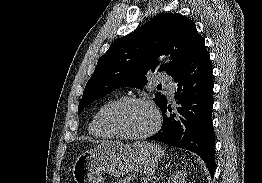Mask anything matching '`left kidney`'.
I'll list each match as a JSON object with an SVG mask.
<instances>
[{"mask_svg": "<svg viewBox=\"0 0 262 183\" xmlns=\"http://www.w3.org/2000/svg\"><path fill=\"white\" fill-rule=\"evenodd\" d=\"M186 176V172L176 171L171 178H169L168 183H186Z\"/></svg>", "mask_w": 262, "mask_h": 183, "instance_id": "obj_1", "label": "left kidney"}]
</instances>
